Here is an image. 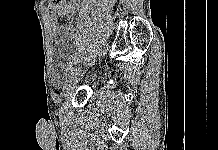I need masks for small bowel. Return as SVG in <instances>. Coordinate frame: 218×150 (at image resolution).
<instances>
[{
	"instance_id": "obj_1",
	"label": "small bowel",
	"mask_w": 218,
	"mask_h": 150,
	"mask_svg": "<svg viewBox=\"0 0 218 150\" xmlns=\"http://www.w3.org/2000/svg\"><path fill=\"white\" fill-rule=\"evenodd\" d=\"M80 0H62L58 5L50 7L51 12V26L55 36H64L74 38L76 36L75 30L71 25L61 26L57 18L66 17L71 20L74 11L79 5Z\"/></svg>"
}]
</instances>
